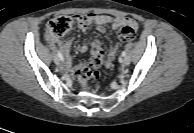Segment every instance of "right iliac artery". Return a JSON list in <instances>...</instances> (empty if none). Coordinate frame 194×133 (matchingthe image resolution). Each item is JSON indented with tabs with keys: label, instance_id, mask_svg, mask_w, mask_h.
Instances as JSON below:
<instances>
[{
	"label": "right iliac artery",
	"instance_id": "obj_1",
	"mask_svg": "<svg viewBox=\"0 0 194 133\" xmlns=\"http://www.w3.org/2000/svg\"><path fill=\"white\" fill-rule=\"evenodd\" d=\"M57 55H58V57H59L61 60H63V56H62V53L60 52V50H57Z\"/></svg>",
	"mask_w": 194,
	"mask_h": 133
}]
</instances>
